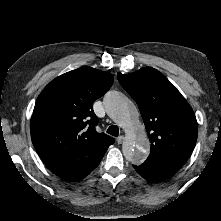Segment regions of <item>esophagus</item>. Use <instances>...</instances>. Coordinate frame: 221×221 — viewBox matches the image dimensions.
I'll return each mask as SVG.
<instances>
[{"label": "esophagus", "instance_id": "obj_1", "mask_svg": "<svg viewBox=\"0 0 221 221\" xmlns=\"http://www.w3.org/2000/svg\"><path fill=\"white\" fill-rule=\"evenodd\" d=\"M116 141H117L118 144H122L123 141H124V136L117 137Z\"/></svg>", "mask_w": 221, "mask_h": 221}]
</instances>
